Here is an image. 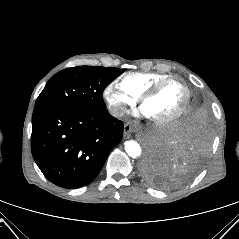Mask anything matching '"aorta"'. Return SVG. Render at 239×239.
<instances>
[{
  "mask_svg": "<svg viewBox=\"0 0 239 239\" xmlns=\"http://www.w3.org/2000/svg\"><path fill=\"white\" fill-rule=\"evenodd\" d=\"M126 153L132 158H138L141 156V147L140 145L134 141L129 140L124 143Z\"/></svg>",
  "mask_w": 239,
  "mask_h": 239,
  "instance_id": "obj_1",
  "label": "aorta"
}]
</instances>
